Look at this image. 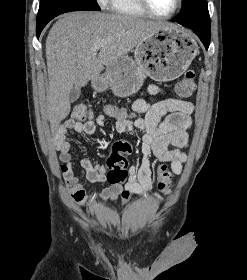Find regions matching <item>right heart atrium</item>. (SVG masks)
Segmentation results:
<instances>
[{"mask_svg": "<svg viewBox=\"0 0 247 280\" xmlns=\"http://www.w3.org/2000/svg\"><path fill=\"white\" fill-rule=\"evenodd\" d=\"M97 2L101 5V6H105L108 2V0H97Z\"/></svg>", "mask_w": 247, "mask_h": 280, "instance_id": "obj_1", "label": "right heart atrium"}]
</instances>
